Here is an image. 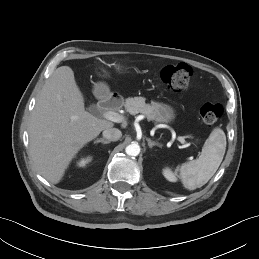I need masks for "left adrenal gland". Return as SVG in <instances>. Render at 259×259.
<instances>
[{
  "mask_svg": "<svg viewBox=\"0 0 259 259\" xmlns=\"http://www.w3.org/2000/svg\"><path fill=\"white\" fill-rule=\"evenodd\" d=\"M147 142H148V146L149 148H152L153 146H158L161 147V145L159 143H156L154 141H151V139L147 138Z\"/></svg>",
  "mask_w": 259,
  "mask_h": 259,
  "instance_id": "left-adrenal-gland-1",
  "label": "left adrenal gland"
}]
</instances>
